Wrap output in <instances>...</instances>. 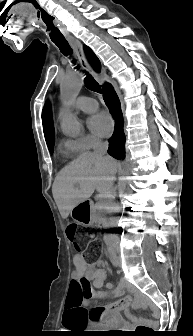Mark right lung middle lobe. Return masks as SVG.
<instances>
[{
	"instance_id": "dd1d6c3e",
	"label": "right lung middle lobe",
	"mask_w": 193,
	"mask_h": 336,
	"mask_svg": "<svg viewBox=\"0 0 193 336\" xmlns=\"http://www.w3.org/2000/svg\"><path fill=\"white\" fill-rule=\"evenodd\" d=\"M53 145H54V139L47 141V146L51 153H52Z\"/></svg>"
}]
</instances>
